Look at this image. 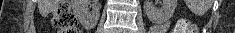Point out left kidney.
Wrapping results in <instances>:
<instances>
[{
  "label": "left kidney",
  "mask_w": 235,
  "mask_h": 33,
  "mask_svg": "<svg viewBox=\"0 0 235 33\" xmlns=\"http://www.w3.org/2000/svg\"><path fill=\"white\" fill-rule=\"evenodd\" d=\"M161 4V8H157L156 4ZM177 6V0H153L145 5V12L149 20L155 24L165 22L170 19Z\"/></svg>",
  "instance_id": "obj_1"
}]
</instances>
